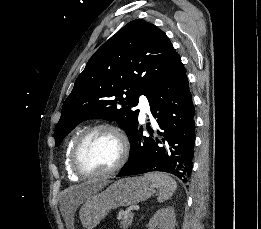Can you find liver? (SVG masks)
<instances>
[{
    "instance_id": "liver-1",
    "label": "liver",
    "mask_w": 261,
    "mask_h": 229,
    "mask_svg": "<svg viewBox=\"0 0 261 229\" xmlns=\"http://www.w3.org/2000/svg\"><path fill=\"white\" fill-rule=\"evenodd\" d=\"M106 183H109V181H106ZM103 187H105L104 181H100V183H96V185H89V183L78 185V187H76L77 191L74 193V199H76L77 203H84L88 197L95 195V193L101 191Z\"/></svg>"
}]
</instances>
